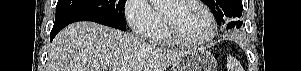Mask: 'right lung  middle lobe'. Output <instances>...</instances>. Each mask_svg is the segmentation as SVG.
I'll list each match as a JSON object with an SVG mask.
<instances>
[{"mask_svg": "<svg viewBox=\"0 0 301 71\" xmlns=\"http://www.w3.org/2000/svg\"><path fill=\"white\" fill-rule=\"evenodd\" d=\"M126 0H58L55 22L80 15H97L125 30L124 4Z\"/></svg>", "mask_w": 301, "mask_h": 71, "instance_id": "right-lung-middle-lobe-1", "label": "right lung middle lobe"}]
</instances>
